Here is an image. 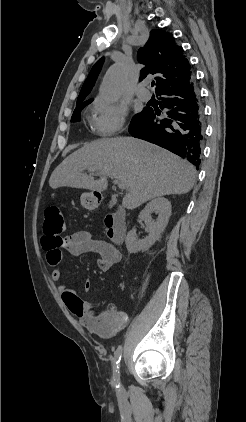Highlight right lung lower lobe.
<instances>
[{
	"label": "right lung lower lobe",
	"mask_w": 246,
	"mask_h": 422,
	"mask_svg": "<svg viewBox=\"0 0 246 422\" xmlns=\"http://www.w3.org/2000/svg\"><path fill=\"white\" fill-rule=\"evenodd\" d=\"M160 108L167 117L159 120L160 113L150 108L131 121L129 133L186 158L197 169L201 163L204 124L202 106L194 77L161 89Z\"/></svg>",
	"instance_id": "right-lung-lower-lobe-1"
}]
</instances>
